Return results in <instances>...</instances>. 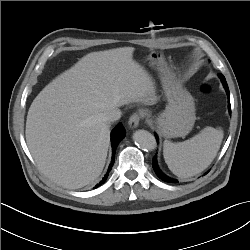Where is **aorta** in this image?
Segmentation results:
<instances>
[{
	"instance_id": "obj_1",
	"label": "aorta",
	"mask_w": 250,
	"mask_h": 250,
	"mask_svg": "<svg viewBox=\"0 0 250 250\" xmlns=\"http://www.w3.org/2000/svg\"><path fill=\"white\" fill-rule=\"evenodd\" d=\"M133 140L142 150L151 151L157 146L155 137L146 130H137L133 134Z\"/></svg>"
}]
</instances>
